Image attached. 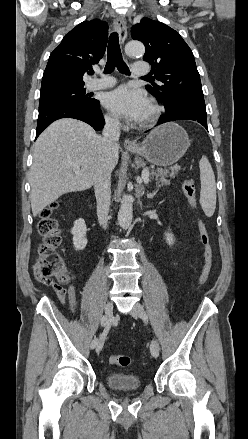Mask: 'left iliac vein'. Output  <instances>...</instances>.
I'll return each mask as SVG.
<instances>
[{"label": "left iliac vein", "instance_id": "4c4485c4", "mask_svg": "<svg viewBox=\"0 0 248 439\" xmlns=\"http://www.w3.org/2000/svg\"><path fill=\"white\" fill-rule=\"evenodd\" d=\"M131 315L134 317H139L144 321L147 320V315L144 311V308L139 303L134 304L133 309L131 311ZM150 352L154 358H157L159 356V345L155 339L151 341Z\"/></svg>", "mask_w": 248, "mask_h": 439}]
</instances>
